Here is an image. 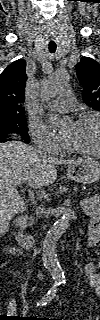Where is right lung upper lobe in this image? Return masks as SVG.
Here are the masks:
<instances>
[{"label":"right lung upper lobe","instance_id":"right-lung-upper-lobe-1","mask_svg":"<svg viewBox=\"0 0 100 320\" xmlns=\"http://www.w3.org/2000/svg\"><path fill=\"white\" fill-rule=\"evenodd\" d=\"M26 62L11 63L0 75V120L25 116L22 106L25 96Z\"/></svg>","mask_w":100,"mask_h":320}]
</instances>
